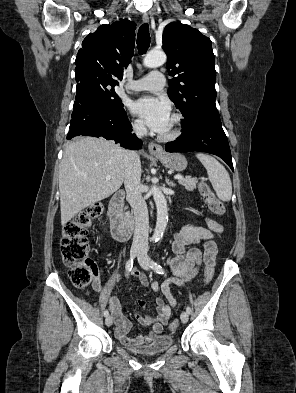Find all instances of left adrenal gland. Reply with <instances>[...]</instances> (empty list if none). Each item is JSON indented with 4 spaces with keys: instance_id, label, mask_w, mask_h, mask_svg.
Listing matches in <instances>:
<instances>
[{
    "instance_id": "obj_1",
    "label": "left adrenal gland",
    "mask_w": 296,
    "mask_h": 393,
    "mask_svg": "<svg viewBox=\"0 0 296 393\" xmlns=\"http://www.w3.org/2000/svg\"><path fill=\"white\" fill-rule=\"evenodd\" d=\"M166 183H167V185L168 186H170V187H176V184L175 183H173L172 181H169V178L168 177H166Z\"/></svg>"
}]
</instances>
